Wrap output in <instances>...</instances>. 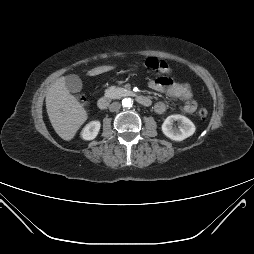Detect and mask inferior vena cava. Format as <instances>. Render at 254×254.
<instances>
[{
	"label": "inferior vena cava",
	"mask_w": 254,
	"mask_h": 254,
	"mask_svg": "<svg viewBox=\"0 0 254 254\" xmlns=\"http://www.w3.org/2000/svg\"><path fill=\"white\" fill-rule=\"evenodd\" d=\"M121 107V104L119 102H113L109 105V110L111 112H116L120 109Z\"/></svg>",
	"instance_id": "1"
}]
</instances>
